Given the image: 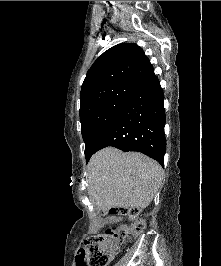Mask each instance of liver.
<instances>
[{
  "instance_id": "obj_1",
  "label": "liver",
  "mask_w": 221,
  "mask_h": 266,
  "mask_svg": "<svg viewBox=\"0 0 221 266\" xmlns=\"http://www.w3.org/2000/svg\"><path fill=\"white\" fill-rule=\"evenodd\" d=\"M88 193L100 209H144L163 179L162 167L137 152L108 147L95 153L87 166Z\"/></svg>"
}]
</instances>
